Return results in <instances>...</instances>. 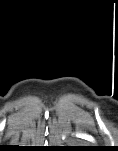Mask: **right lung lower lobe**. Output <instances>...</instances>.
Here are the masks:
<instances>
[{"mask_svg":"<svg viewBox=\"0 0 118 151\" xmlns=\"http://www.w3.org/2000/svg\"><path fill=\"white\" fill-rule=\"evenodd\" d=\"M20 147H15V146H11V147H7L6 150L7 151H19Z\"/></svg>","mask_w":118,"mask_h":151,"instance_id":"1","label":"right lung lower lobe"}]
</instances>
